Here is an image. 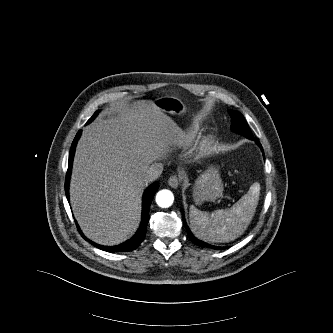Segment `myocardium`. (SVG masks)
I'll use <instances>...</instances> for the list:
<instances>
[{"label": "myocardium", "instance_id": "obj_1", "mask_svg": "<svg viewBox=\"0 0 333 333\" xmlns=\"http://www.w3.org/2000/svg\"><path fill=\"white\" fill-rule=\"evenodd\" d=\"M207 140H204L201 142L200 146H199V151H202L203 150V147L207 144Z\"/></svg>", "mask_w": 333, "mask_h": 333}]
</instances>
